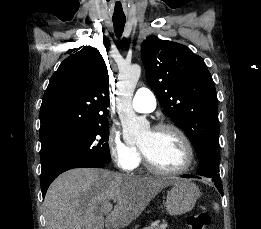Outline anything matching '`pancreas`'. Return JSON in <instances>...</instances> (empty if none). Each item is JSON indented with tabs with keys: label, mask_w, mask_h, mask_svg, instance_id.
<instances>
[{
	"label": "pancreas",
	"mask_w": 261,
	"mask_h": 229,
	"mask_svg": "<svg viewBox=\"0 0 261 229\" xmlns=\"http://www.w3.org/2000/svg\"><path fill=\"white\" fill-rule=\"evenodd\" d=\"M165 225V223H164ZM164 225H155V227H152V229H162V227H164ZM166 227V225H165Z\"/></svg>",
	"instance_id": "obj_1"
}]
</instances>
